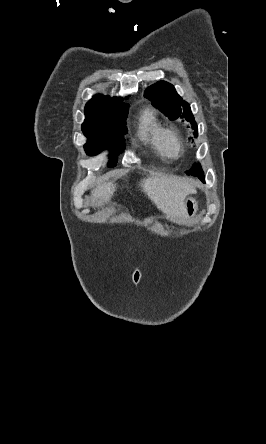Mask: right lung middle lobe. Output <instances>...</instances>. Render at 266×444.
<instances>
[{
	"mask_svg": "<svg viewBox=\"0 0 266 444\" xmlns=\"http://www.w3.org/2000/svg\"><path fill=\"white\" fill-rule=\"evenodd\" d=\"M128 108V104L118 102L85 111L86 118L82 124V131L88 138L84 145L85 151L93 156L108 148L112 158L109 167L116 165L117 156L124 150L123 136L127 133L125 120Z\"/></svg>",
	"mask_w": 266,
	"mask_h": 444,
	"instance_id": "dd1d6c3e",
	"label": "right lung middle lobe"
}]
</instances>
